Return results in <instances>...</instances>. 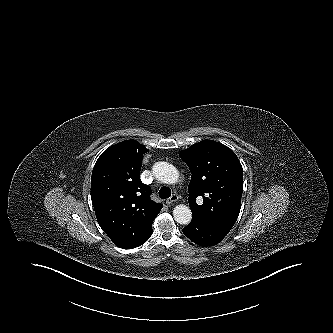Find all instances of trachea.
<instances>
[{"mask_svg": "<svg viewBox=\"0 0 333 333\" xmlns=\"http://www.w3.org/2000/svg\"><path fill=\"white\" fill-rule=\"evenodd\" d=\"M171 196V190L168 187H162L159 190V197L162 199H167Z\"/></svg>", "mask_w": 333, "mask_h": 333, "instance_id": "3493384b", "label": "trachea"}]
</instances>
